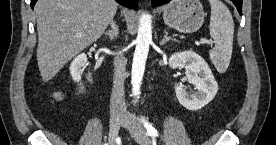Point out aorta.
Segmentation results:
<instances>
[{
  "label": "aorta",
  "instance_id": "762f6f07",
  "mask_svg": "<svg viewBox=\"0 0 276 145\" xmlns=\"http://www.w3.org/2000/svg\"><path fill=\"white\" fill-rule=\"evenodd\" d=\"M152 42V24L149 14H142L139 21L136 48L133 56L131 84L134 96L140 93L141 82L143 79L146 60L149 52V45Z\"/></svg>",
  "mask_w": 276,
  "mask_h": 145
}]
</instances>
